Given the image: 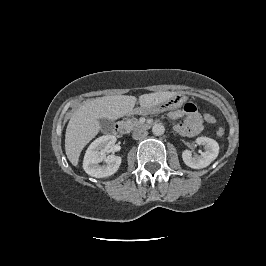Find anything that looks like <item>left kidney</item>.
Returning <instances> with one entry per match:
<instances>
[{
    "label": "left kidney",
    "instance_id": "5707ae66",
    "mask_svg": "<svg viewBox=\"0 0 266 266\" xmlns=\"http://www.w3.org/2000/svg\"><path fill=\"white\" fill-rule=\"evenodd\" d=\"M198 145L204 146L205 151L199 156H192L191 151L185 150L182 153L184 163L193 169H202L207 167L214 161L219 153V144L208 137H198L196 139Z\"/></svg>",
    "mask_w": 266,
    "mask_h": 266
}]
</instances>
